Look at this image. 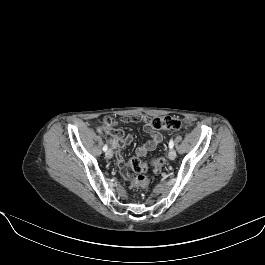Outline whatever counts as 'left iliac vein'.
<instances>
[{"mask_svg":"<svg viewBox=\"0 0 265 265\" xmlns=\"http://www.w3.org/2000/svg\"><path fill=\"white\" fill-rule=\"evenodd\" d=\"M168 158L170 160H174L176 158V151L174 149H170L168 152Z\"/></svg>","mask_w":265,"mask_h":265,"instance_id":"4c4485c4","label":"left iliac vein"}]
</instances>
